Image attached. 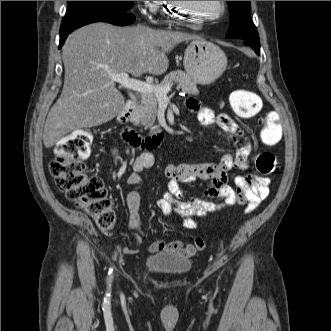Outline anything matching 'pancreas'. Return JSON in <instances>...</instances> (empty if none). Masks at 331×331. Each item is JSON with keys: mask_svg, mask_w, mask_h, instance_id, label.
Here are the masks:
<instances>
[{"mask_svg": "<svg viewBox=\"0 0 331 331\" xmlns=\"http://www.w3.org/2000/svg\"><path fill=\"white\" fill-rule=\"evenodd\" d=\"M173 81L178 84V88H181L183 92L192 95L199 94L196 83L181 70L169 73L156 86L164 87ZM157 104L158 98L154 93L142 94L140 104L134 109L131 115V122L135 125L141 124L145 129H150L151 131L158 129L159 126L154 125L157 115Z\"/></svg>", "mask_w": 331, "mask_h": 331, "instance_id": "pancreas-1", "label": "pancreas"}]
</instances>
